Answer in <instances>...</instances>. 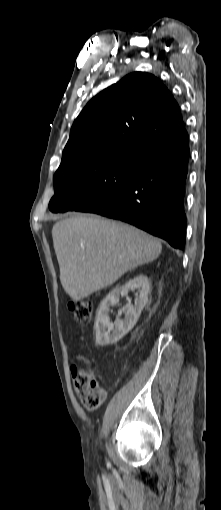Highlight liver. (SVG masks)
<instances>
[{"instance_id":"1","label":"liver","mask_w":221,"mask_h":510,"mask_svg":"<svg viewBox=\"0 0 221 510\" xmlns=\"http://www.w3.org/2000/svg\"><path fill=\"white\" fill-rule=\"evenodd\" d=\"M52 238L62 287L74 301L152 262L162 250L160 241L147 233L95 216L79 215L56 222Z\"/></svg>"}]
</instances>
